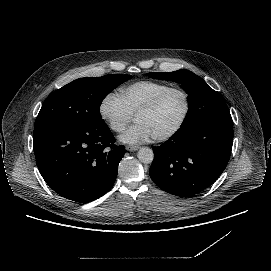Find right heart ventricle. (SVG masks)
<instances>
[{"label":"right heart ventricle","mask_w":271,"mask_h":271,"mask_svg":"<svg viewBox=\"0 0 271 271\" xmlns=\"http://www.w3.org/2000/svg\"><path fill=\"white\" fill-rule=\"evenodd\" d=\"M170 86V83L162 81H136L121 88V99L128 111L136 115L139 110Z\"/></svg>","instance_id":"1"}]
</instances>
